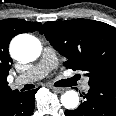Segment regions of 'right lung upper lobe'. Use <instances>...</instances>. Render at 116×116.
Wrapping results in <instances>:
<instances>
[{
  "mask_svg": "<svg viewBox=\"0 0 116 116\" xmlns=\"http://www.w3.org/2000/svg\"><path fill=\"white\" fill-rule=\"evenodd\" d=\"M41 26L38 22H28L21 19H4L0 21V100L12 89L8 86L7 76L12 59L8 47L11 39L21 33L37 31Z\"/></svg>",
  "mask_w": 116,
  "mask_h": 116,
  "instance_id": "right-lung-upper-lobe-1",
  "label": "right lung upper lobe"
}]
</instances>
